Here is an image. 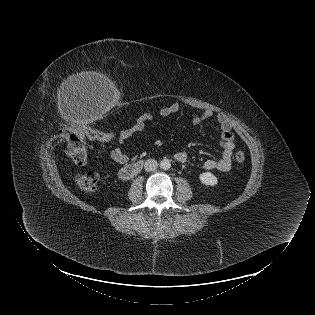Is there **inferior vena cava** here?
<instances>
[{
    "instance_id": "1",
    "label": "inferior vena cava",
    "mask_w": 315,
    "mask_h": 315,
    "mask_svg": "<svg viewBox=\"0 0 315 315\" xmlns=\"http://www.w3.org/2000/svg\"><path fill=\"white\" fill-rule=\"evenodd\" d=\"M158 167V163L155 159H147L144 163V169L147 172L155 171Z\"/></svg>"
}]
</instances>
